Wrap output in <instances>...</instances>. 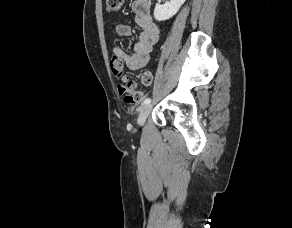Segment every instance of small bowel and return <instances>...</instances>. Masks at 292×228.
Returning a JSON list of instances; mask_svg holds the SVG:
<instances>
[{
	"label": "small bowel",
	"mask_w": 292,
	"mask_h": 228,
	"mask_svg": "<svg viewBox=\"0 0 292 228\" xmlns=\"http://www.w3.org/2000/svg\"><path fill=\"white\" fill-rule=\"evenodd\" d=\"M132 10L135 22L140 27L141 33L138 41L134 44L132 52H127L121 47L112 50V58L122 62L131 71L142 69L149 61L150 53L159 39V28L151 15V0H134ZM116 35L130 37L133 29L127 24H118L115 27Z\"/></svg>",
	"instance_id": "c3829d8e"
}]
</instances>
